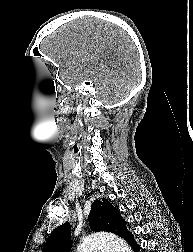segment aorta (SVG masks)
Returning a JSON list of instances; mask_svg holds the SVG:
<instances>
[{
  "instance_id": "1",
  "label": "aorta",
  "mask_w": 193,
  "mask_h": 252,
  "mask_svg": "<svg viewBox=\"0 0 193 252\" xmlns=\"http://www.w3.org/2000/svg\"><path fill=\"white\" fill-rule=\"evenodd\" d=\"M131 252L129 245L120 237L112 234L98 233L84 239L77 252Z\"/></svg>"
}]
</instances>
